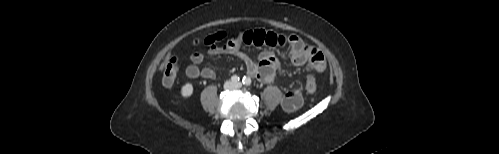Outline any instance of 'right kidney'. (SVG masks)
<instances>
[{
    "label": "right kidney",
    "instance_id": "right-kidney-1",
    "mask_svg": "<svg viewBox=\"0 0 499 154\" xmlns=\"http://www.w3.org/2000/svg\"><path fill=\"white\" fill-rule=\"evenodd\" d=\"M193 94V85L191 83H186L181 88V95L184 98H188Z\"/></svg>",
    "mask_w": 499,
    "mask_h": 154
}]
</instances>
